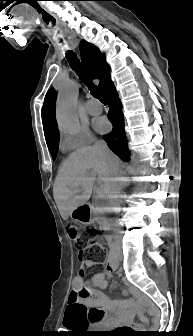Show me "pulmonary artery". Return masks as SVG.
<instances>
[{
  "label": "pulmonary artery",
  "instance_id": "obj_1",
  "mask_svg": "<svg viewBox=\"0 0 193 336\" xmlns=\"http://www.w3.org/2000/svg\"><path fill=\"white\" fill-rule=\"evenodd\" d=\"M84 106L89 114L97 115L102 112L101 104L95 99H89Z\"/></svg>",
  "mask_w": 193,
  "mask_h": 336
}]
</instances>
